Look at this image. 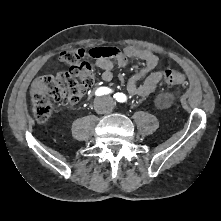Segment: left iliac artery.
<instances>
[{"instance_id":"44dca946","label":"left iliac artery","mask_w":221,"mask_h":221,"mask_svg":"<svg viewBox=\"0 0 221 221\" xmlns=\"http://www.w3.org/2000/svg\"><path fill=\"white\" fill-rule=\"evenodd\" d=\"M114 98L118 101V102H124L126 100V97L123 93H116L114 95Z\"/></svg>"}]
</instances>
